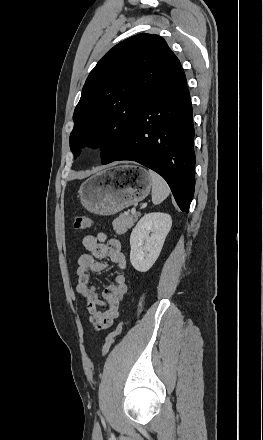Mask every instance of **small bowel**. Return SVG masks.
I'll return each mask as SVG.
<instances>
[{"mask_svg": "<svg viewBox=\"0 0 263 440\" xmlns=\"http://www.w3.org/2000/svg\"><path fill=\"white\" fill-rule=\"evenodd\" d=\"M83 246L89 252L78 259L76 292L86 301V313L90 323L98 330L110 328L119 315L120 303L127 292V278L122 272L127 266L126 257L118 239L106 240L105 235H87ZM108 259L120 270L114 282L108 285L101 296L91 284V272H102L108 268Z\"/></svg>", "mask_w": 263, "mask_h": 440, "instance_id": "small-bowel-1", "label": "small bowel"}]
</instances>
